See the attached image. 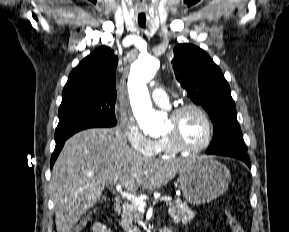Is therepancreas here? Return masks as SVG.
<instances>
[{
	"mask_svg": "<svg viewBox=\"0 0 289 232\" xmlns=\"http://www.w3.org/2000/svg\"><path fill=\"white\" fill-rule=\"evenodd\" d=\"M168 213L175 223L187 224L195 217L188 205L179 199L169 204ZM133 223H139V213L137 206L131 203L123 210L120 225L125 232H140Z\"/></svg>",
	"mask_w": 289,
	"mask_h": 232,
	"instance_id": "pancreas-1",
	"label": "pancreas"
}]
</instances>
